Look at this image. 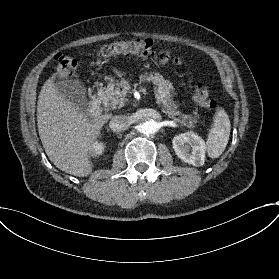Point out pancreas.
<instances>
[{"label": "pancreas", "instance_id": "1", "mask_svg": "<svg viewBox=\"0 0 279 279\" xmlns=\"http://www.w3.org/2000/svg\"><path fill=\"white\" fill-rule=\"evenodd\" d=\"M139 79L140 82L149 81L155 85L154 93L157 103L162 104V111L167 114L169 118L182 123L188 120L190 124H192V117L189 115H182L181 119L176 118V116L180 115V112L176 111L177 106L172 100L173 86L168 80H165L159 73L142 74ZM129 90L130 86L127 81L125 86L122 82L116 84L111 83L100 91L99 97L105 107L115 109L118 105L119 107L124 105L126 101L125 97Z\"/></svg>", "mask_w": 279, "mask_h": 279}]
</instances>
